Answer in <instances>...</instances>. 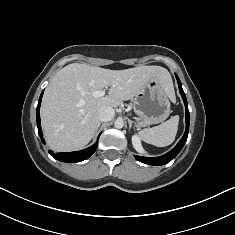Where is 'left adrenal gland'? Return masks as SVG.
<instances>
[{
	"instance_id": "left-adrenal-gland-1",
	"label": "left adrenal gland",
	"mask_w": 235,
	"mask_h": 235,
	"mask_svg": "<svg viewBox=\"0 0 235 235\" xmlns=\"http://www.w3.org/2000/svg\"><path fill=\"white\" fill-rule=\"evenodd\" d=\"M127 120H128V124H129V130H130L132 127V121L129 118H127Z\"/></svg>"
}]
</instances>
